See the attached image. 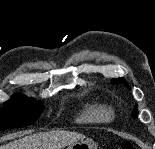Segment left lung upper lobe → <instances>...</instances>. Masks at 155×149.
<instances>
[{"instance_id":"5c2ea615","label":"left lung upper lobe","mask_w":155,"mask_h":149,"mask_svg":"<svg viewBox=\"0 0 155 149\" xmlns=\"http://www.w3.org/2000/svg\"><path fill=\"white\" fill-rule=\"evenodd\" d=\"M113 84H118V83H123V84H126V86L130 89L129 85L127 84L126 80H124V78H117V79H114L112 81ZM137 114H138V111H137V105L135 106V111L132 113V117L133 118H137Z\"/></svg>"}]
</instances>
